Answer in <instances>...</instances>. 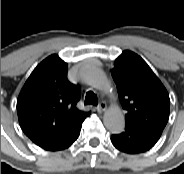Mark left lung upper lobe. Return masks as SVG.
<instances>
[{
  "label": "left lung upper lobe",
  "mask_w": 184,
  "mask_h": 174,
  "mask_svg": "<svg viewBox=\"0 0 184 174\" xmlns=\"http://www.w3.org/2000/svg\"><path fill=\"white\" fill-rule=\"evenodd\" d=\"M127 127L161 136L169 118L167 90L147 63L137 54L124 51L111 71Z\"/></svg>",
  "instance_id": "left-lung-upper-lobe-1"
}]
</instances>
